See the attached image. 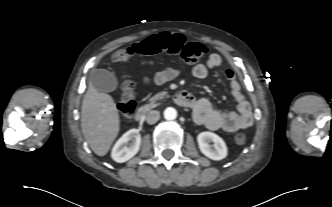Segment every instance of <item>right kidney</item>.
Segmentation results:
<instances>
[{"label": "right kidney", "mask_w": 332, "mask_h": 207, "mask_svg": "<svg viewBox=\"0 0 332 207\" xmlns=\"http://www.w3.org/2000/svg\"><path fill=\"white\" fill-rule=\"evenodd\" d=\"M131 139L133 142L129 146H126L125 144ZM140 144L141 137L139 131L137 129H131L123 134L115 143L111 152V157L115 162H126L138 153Z\"/></svg>", "instance_id": "right-kidney-1"}]
</instances>
